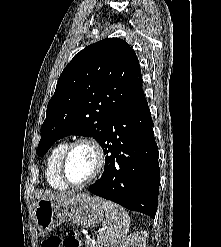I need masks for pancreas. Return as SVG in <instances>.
Instances as JSON below:
<instances>
[{
    "instance_id": "pancreas-1",
    "label": "pancreas",
    "mask_w": 221,
    "mask_h": 247,
    "mask_svg": "<svg viewBox=\"0 0 221 247\" xmlns=\"http://www.w3.org/2000/svg\"><path fill=\"white\" fill-rule=\"evenodd\" d=\"M85 244L87 247H99V244H96L95 242H93L91 239H87L85 241Z\"/></svg>"
}]
</instances>
